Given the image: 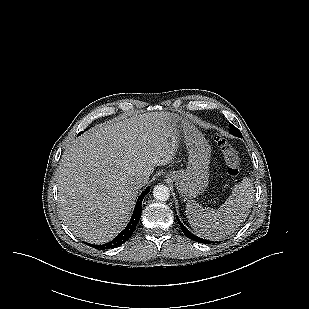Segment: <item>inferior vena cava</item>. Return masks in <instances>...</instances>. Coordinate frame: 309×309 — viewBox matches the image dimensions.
I'll use <instances>...</instances> for the list:
<instances>
[{
  "label": "inferior vena cava",
  "instance_id": "inferior-vena-cava-1",
  "mask_svg": "<svg viewBox=\"0 0 309 309\" xmlns=\"http://www.w3.org/2000/svg\"><path fill=\"white\" fill-rule=\"evenodd\" d=\"M147 182L146 178L143 176H137L133 179L132 183L136 186L141 188Z\"/></svg>",
  "mask_w": 309,
  "mask_h": 309
}]
</instances>
